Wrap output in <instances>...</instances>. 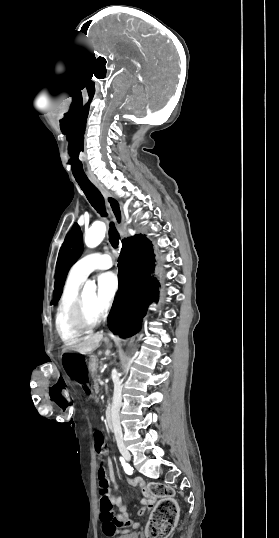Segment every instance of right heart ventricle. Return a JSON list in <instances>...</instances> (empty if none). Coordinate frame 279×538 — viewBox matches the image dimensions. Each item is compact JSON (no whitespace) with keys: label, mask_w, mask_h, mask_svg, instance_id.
<instances>
[{"label":"right heart ventricle","mask_w":279,"mask_h":538,"mask_svg":"<svg viewBox=\"0 0 279 538\" xmlns=\"http://www.w3.org/2000/svg\"><path fill=\"white\" fill-rule=\"evenodd\" d=\"M109 227L104 216L97 215L92 225L85 230V239L88 241L93 235L104 236L108 233ZM72 269V268H71ZM86 278L77 277L73 272H69L63 293L56 310V329L65 342H70L83 335L86 331H74L67 324V313L70 306L75 302L80 294L81 288Z\"/></svg>","instance_id":"1"}]
</instances>
